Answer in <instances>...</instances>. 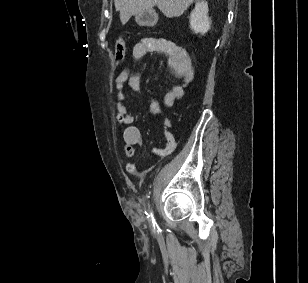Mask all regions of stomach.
Listing matches in <instances>:
<instances>
[{"label": "stomach", "instance_id": "0dacf381", "mask_svg": "<svg viewBox=\"0 0 308 283\" xmlns=\"http://www.w3.org/2000/svg\"><path fill=\"white\" fill-rule=\"evenodd\" d=\"M136 22L140 25H150L152 16L150 14V11H143L136 15L135 17Z\"/></svg>", "mask_w": 308, "mask_h": 283}]
</instances>
